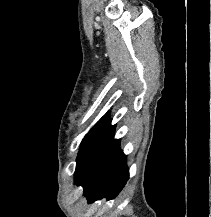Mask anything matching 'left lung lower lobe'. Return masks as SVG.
Segmentation results:
<instances>
[{"instance_id":"obj_1","label":"left lung lower lobe","mask_w":211,"mask_h":217,"mask_svg":"<svg viewBox=\"0 0 211 217\" xmlns=\"http://www.w3.org/2000/svg\"><path fill=\"white\" fill-rule=\"evenodd\" d=\"M129 179L126 155L120 149V140L112 138L94 156L75 183L84 189L89 203L104 197L114 199Z\"/></svg>"}]
</instances>
